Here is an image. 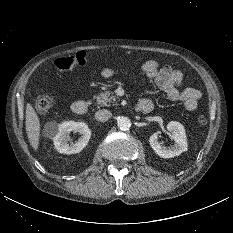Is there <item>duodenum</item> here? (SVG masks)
Segmentation results:
<instances>
[{"mask_svg": "<svg viewBox=\"0 0 233 233\" xmlns=\"http://www.w3.org/2000/svg\"><path fill=\"white\" fill-rule=\"evenodd\" d=\"M87 108V102L84 100H78L72 104V112L78 116L84 115L87 112ZM134 108L138 112L148 113L153 109V105L150 102H138Z\"/></svg>", "mask_w": 233, "mask_h": 233, "instance_id": "obj_1", "label": "duodenum"}]
</instances>
